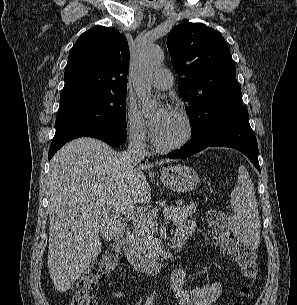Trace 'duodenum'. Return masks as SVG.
Returning <instances> with one entry per match:
<instances>
[{
  "label": "duodenum",
  "instance_id": "obj_1",
  "mask_svg": "<svg viewBox=\"0 0 297 305\" xmlns=\"http://www.w3.org/2000/svg\"><path fill=\"white\" fill-rule=\"evenodd\" d=\"M191 234L190 230H177L172 239H170L163 249L176 250L180 248L186 238ZM117 245L119 246L124 258L136 269L152 274L158 273L163 267V260L158 253L151 257H145L140 254L133 240L130 228L126 224H120L117 232Z\"/></svg>",
  "mask_w": 297,
  "mask_h": 305
}]
</instances>
